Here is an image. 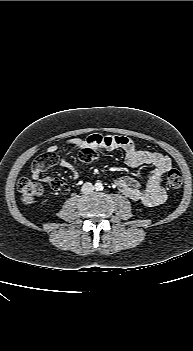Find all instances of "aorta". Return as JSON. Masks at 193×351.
Wrapping results in <instances>:
<instances>
[{
    "label": "aorta",
    "instance_id": "aorta-1",
    "mask_svg": "<svg viewBox=\"0 0 193 351\" xmlns=\"http://www.w3.org/2000/svg\"><path fill=\"white\" fill-rule=\"evenodd\" d=\"M95 189L96 190H102L103 189V185L101 183H96L95 184Z\"/></svg>",
    "mask_w": 193,
    "mask_h": 351
}]
</instances>
